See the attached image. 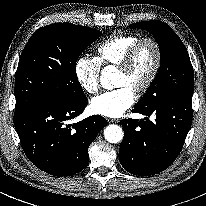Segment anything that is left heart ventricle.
<instances>
[{
  "label": "left heart ventricle",
  "instance_id": "left-heart-ventricle-1",
  "mask_svg": "<svg viewBox=\"0 0 206 206\" xmlns=\"http://www.w3.org/2000/svg\"><path fill=\"white\" fill-rule=\"evenodd\" d=\"M155 59V52L151 44L144 43L140 48L132 70L128 73H118L117 87L128 86L134 90L149 76Z\"/></svg>",
  "mask_w": 206,
  "mask_h": 206
}]
</instances>
